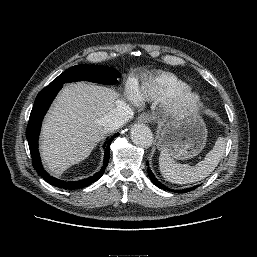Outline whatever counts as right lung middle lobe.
Here are the masks:
<instances>
[{
	"mask_svg": "<svg viewBox=\"0 0 257 257\" xmlns=\"http://www.w3.org/2000/svg\"><path fill=\"white\" fill-rule=\"evenodd\" d=\"M119 77L118 71L107 66L76 65L59 75L48 86L62 85L74 81H90L111 85L116 84Z\"/></svg>",
	"mask_w": 257,
	"mask_h": 257,
	"instance_id": "right-lung-middle-lobe-1",
	"label": "right lung middle lobe"
}]
</instances>
